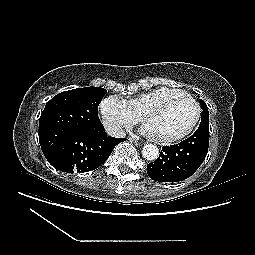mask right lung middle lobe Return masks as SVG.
<instances>
[{
    "label": "right lung middle lobe",
    "instance_id": "1",
    "mask_svg": "<svg viewBox=\"0 0 255 255\" xmlns=\"http://www.w3.org/2000/svg\"><path fill=\"white\" fill-rule=\"evenodd\" d=\"M105 94L104 88L85 87L64 91L48 101L39 119V142L43 153L74 131H102L104 127L97 110Z\"/></svg>",
    "mask_w": 255,
    "mask_h": 255
}]
</instances>
